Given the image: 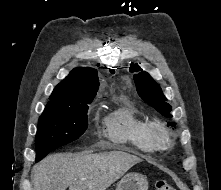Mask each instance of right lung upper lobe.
<instances>
[{
    "mask_svg": "<svg viewBox=\"0 0 221 190\" xmlns=\"http://www.w3.org/2000/svg\"><path fill=\"white\" fill-rule=\"evenodd\" d=\"M99 87L98 72L89 67L75 68L52 92L46 108H66L91 100Z\"/></svg>",
    "mask_w": 221,
    "mask_h": 190,
    "instance_id": "obj_1",
    "label": "right lung upper lobe"
}]
</instances>
